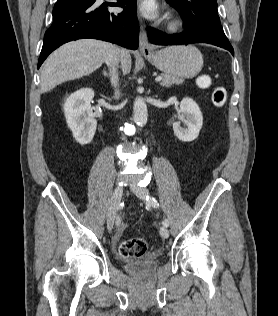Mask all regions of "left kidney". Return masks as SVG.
<instances>
[{"label":"left kidney","instance_id":"left-kidney-1","mask_svg":"<svg viewBox=\"0 0 278 316\" xmlns=\"http://www.w3.org/2000/svg\"><path fill=\"white\" fill-rule=\"evenodd\" d=\"M178 118L185 123L186 127L182 128L180 122H175L174 134L184 142L195 140L203 124V116L197 103L191 98L182 99Z\"/></svg>","mask_w":278,"mask_h":316}]
</instances>
